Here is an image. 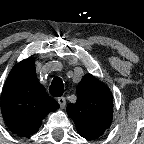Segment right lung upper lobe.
Segmentation results:
<instances>
[{"mask_svg": "<svg viewBox=\"0 0 144 144\" xmlns=\"http://www.w3.org/2000/svg\"><path fill=\"white\" fill-rule=\"evenodd\" d=\"M58 108L39 83L32 57L13 67L1 95V112L11 132L23 137L36 133L42 120Z\"/></svg>", "mask_w": 144, "mask_h": 144, "instance_id": "1", "label": "right lung upper lobe"}]
</instances>
